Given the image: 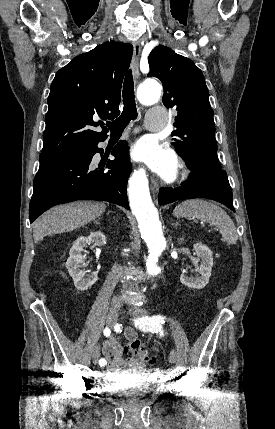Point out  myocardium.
Listing matches in <instances>:
<instances>
[{
    "label": "myocardium",
    "instance_id": "1",
    "mask_svg": "<svg viewBox=\"0 0 275 429\" xmlns=\"http://www.w3.org/2000/svg\"><path fill=\"white\" fill-rule=\"evenodd\" d=\"M179 175H180V177H181L182 179H184V178H186V177H187V170L185 169V167H184V166H182V167H181V170H180V172H179Z\"/></svg>",
    "mask_w": 275,
    "mask_h": 429
}]
</instances>
